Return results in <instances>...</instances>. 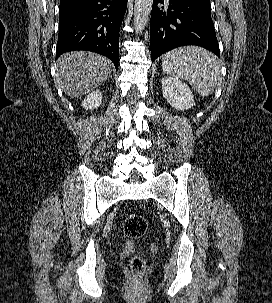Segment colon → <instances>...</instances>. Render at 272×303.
Segmentation results:
<instances>
[{
  "label": "colon",
  "mask_w": 272,
  "mask_h": 303,
  "mask_svg": "<svg viewBox=\"0 0 272 303\" xmlns=\"http://www.w3.org/2000/svg\"><path fill=\"white\" fill-rule=\"evenodd\" d=\"M147 227L146 219L139 214L130 213L123 221V230L125 234L132 239L143 237L147 231ZM130 270L133 277H141L145 270L144 260L139 256H134L131 260Z\"/></svg>",
  "instance_id": "5ec220e1"
}]
</instances>
